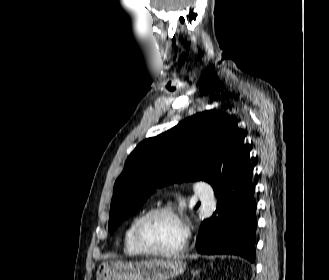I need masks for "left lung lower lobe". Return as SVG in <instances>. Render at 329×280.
<instances>
[{"instance_id": "0a47b994", "label": "left lung lower lobe", "mask_w": 329, "mask_h": 280, "mask_svg": "<svg viewBox=\"0 0 329 280\" xmlns=\"http://www.w3.org/2000/svg\"><path fill=\"white\" fill-rule=\"evenodd\" d=\"M249 152L243 148L239 169L215 190L217 210L203 221L197 237L196 249L201 254L240 255L254 262L257 222Z\"/></svg>"}]
</instances>
